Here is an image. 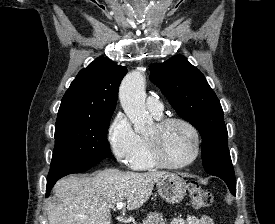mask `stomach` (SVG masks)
<instances>
[{"instance_id": "obj_1", "label": "stomach", "mask_w": 275, "mask_h": 224, "mask_svg": "<svg viewBox=\"0 0 275 224\" xmlns=\"http://www.w3.org/2000/svg\"><path fill=\"white\" fill-rule=\"evenodd\" d=\"M187 187V183L173 173H167L157 182L158 194L170 204L182 201L186 195Z\"/></svg>"}]
</instances>
